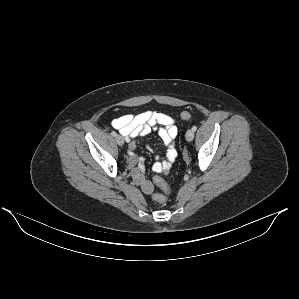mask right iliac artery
<instances>
[{
    "mask_svg": "<svg viewBox=\"0 0 299 299\" xmlns=\"http://www.w3.org/2000/svg\"><path fill=\"white\" fill-rule=\"evenodd\" d=\"M111 135L114 136V137H116V136H117V133H116L115 131H112V132H111Z\"/></svg>",
    "mask_w": 299,
    "mask_h": 299,
    "instance_id": "obj_1",
    "label": "right iliac artery"
}]
</instances>
